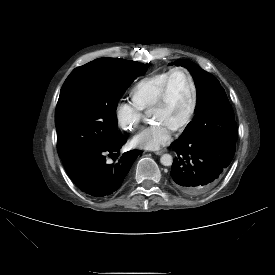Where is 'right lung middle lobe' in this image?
Masks as SVG:
<instances>
[{"label": "right lung middle lobe", "instance_id": "1", "mask_svg": "<svg viewBox=\"0 0 275 275\" xmlns=\"http://www.w3.org/2000/svg\"><path fill=\"white\" fill-rule=\"evenodd\" d=\"M149 64L121 58H99L74 69L64 82L56 107L60 158L97 148L120 135L118 101Z\"/></svg>", "mask_w": 275, "mask_h": 275}]
</instances>
